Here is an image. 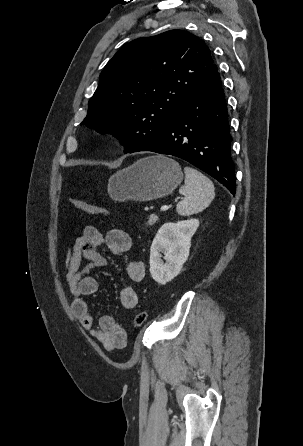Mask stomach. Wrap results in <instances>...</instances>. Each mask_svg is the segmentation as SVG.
I'll use <instances>...</instances> for the list:
<instances>
[{
  "instance_id": "1",
  "label": "stomach",
  "mask_w": 303,
  "mask_h": 446,
  "mask_svg": "<svg viewBox=\"0 0 303 446\" xmlns=\"http://www.w3.org/2000/svg\"><path fill=\"white\" fill-rule=\"evenodd\" d=\"M183 180L180 165L162 155L142 158L108 181L112 200L150 201L171 194Z\"/></svg>"
}]
</instances>
